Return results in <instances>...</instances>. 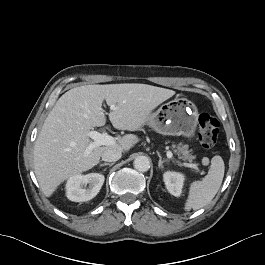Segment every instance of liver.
I'll return each mask as SVG.
<instances>
[{
  "mask_svg": "<svg viewBox=\"0 0 265 265\" xmlns=\"http://www.w3.org/2000/svg\"><path fill=\"white\" fill-rule=\"evenodd\" d=\"M175 91L147 84L85 85L64 93L46 117L34 146V172L41 190L50 197L68 178L85 172L99 163L108 149L129 151L138 141L126 134L114 145L94 148L86 135L93 127L106 123L102 103L114 105L109 119L119 130H139L152 110L171 98Z\"/></svg>",
  "mask_w": 265,
  "mask_h": 265,
  "instance_id": "6515ba94",
  "label": "liver"
}]
</instances>
